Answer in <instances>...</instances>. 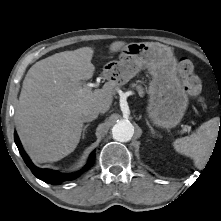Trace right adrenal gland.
<instances>
[{"label":"right adrenal gland","instance_id":"2a0ac1e0","mask_svg":"<svg viewBox=\"0 0 221 221\" xmlns=\"http://www.w3.org/2000/svg\"><path fill=\"white\" fill-rule=\"evenodd\" d=\"M89 124L85 125L84 128H83V134H82V138H84L85 136V132H86V129L88 128Z\"/></svg>","mask_w":221,"mask_h":221}]
</instances>
